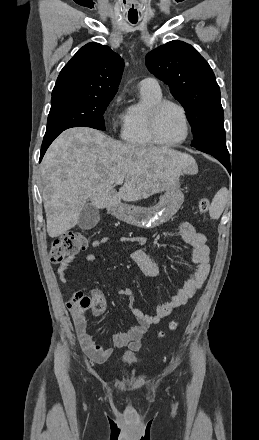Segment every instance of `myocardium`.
<instances>
[{"mask_svg":"<svg viewBox=\"0 0 259 440\" xmlns=\"http://www.w3.org/2000/svg\"><path fill=\"white\" fill-rule=\"evenodd\" d=\"M167 106H174L180 111L185 126L184 136L180 140L171 143L163 141L158 133L159 117L163 109ZM148 129H149V134L152 140L154 141V143L162 147H177L182 145L189 138L191 131L190 122L186 109L179 102L170 99H161L150 108L148 113Z\"/></svg>","mask_w":259,"mask_h":440,"instance_id":"1","label":"myocardium"}]
</instances>
